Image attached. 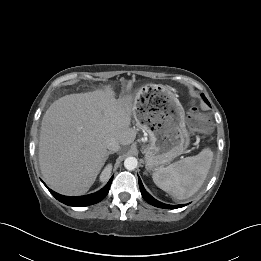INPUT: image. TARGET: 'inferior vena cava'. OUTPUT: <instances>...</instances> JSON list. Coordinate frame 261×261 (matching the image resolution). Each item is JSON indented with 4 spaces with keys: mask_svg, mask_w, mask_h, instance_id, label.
I'll return each instance as SVG.
<instances>
[{
    "mask_svg": "<svg viewBox=\"0 0 261 261\" xmlns=\"http://www.w3.org/2000/svg\"><path fill=\"white\" fill-rule=\"evenodd\" d=\"M104 145H105L106 149H108L112 152H117L120 150V144L117 141V139L114 137H110V138L106 139V141L104 142Z\"/></svg>",
    "mask_w": 261,
    "mask_h": 261,
    "instance_id": "obj_1",
    "label": "inferior vena cava"
}]
</instances>
